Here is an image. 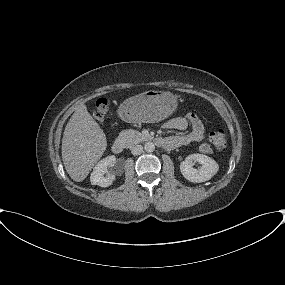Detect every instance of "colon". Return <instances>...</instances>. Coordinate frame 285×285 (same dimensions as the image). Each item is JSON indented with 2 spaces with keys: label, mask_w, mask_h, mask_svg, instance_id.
I'll return each mask as SVG.
<instances>
[{
  "label": "colon",
  "mask_w": 285,
  "mask_h": 285,
  "mask_svg": "<svg viewBox=\"0 0 285 285\" xmlns=\"http://www.w3.org/2000/svg\"><path fill=\"white\" fill-rule=\"evenodd\" d=\"M94 116L99 122H103L106 120L108 116V102L105 99H100L97 102ZM209 141L216 150L223 151L226 148L225 130L222 128H218L212 131L209 135ZM201 151L204 153H209L212 151V147L208 144H203L201 146Z\"/></svg>",
  "instance_id": "5ec220e1"
}]
</instances>
